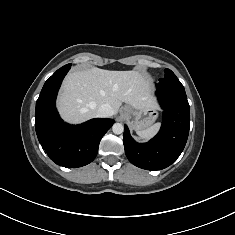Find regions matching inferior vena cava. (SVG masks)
I'll return each instance as SVG.
<instances>
[{"mask_svg": "<svg viewBox=\"0 0 235 235\" xmlns=\"http://www.w3.org/2000/svg\"><path fill=\"white\" fill-rule=\"evenodd\" d=\"M114 114V111L112 109V107L108 104H103L101 105L98 110H97V116L98 117H110Z\"/></svg>", "mask_w": 235, "mask_h": 235, "instance_id": "obj_1", "label": "inferior vena cava"}]
</instances>
